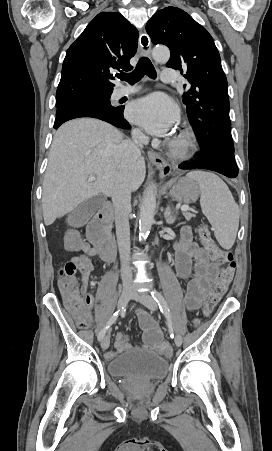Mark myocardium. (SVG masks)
Segmentation results:
<instances>
[{
  "label": "myocardium",
  "instance_id": "obj_1",
  "mask_svg": "<svg viewBox=\"0 0 272 451\" xmlns=\"http://www.w3.org/2000/svg\"><path fill=\"white\" fill-rule=\"evenodd\" d=\"M191 137H192V134L187 129H185L183 132V142L184 143L180 144V147H185L186 144L191 140Z\"/></svg>",
  "mask_w": 272,
  "mask_h": 451
}]
</instances>
